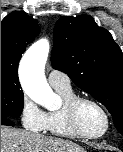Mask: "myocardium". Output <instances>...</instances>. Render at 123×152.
<instances>
[{
	"label": "myocardium",
	"instance_id": "f54148a6",
	"mask_svg": "<svg viewBox=\"0 0 123 152\" xmlns=\"http://www.w3.org/2000/svg\"><path fill=\"white\" fill-rule=\"evenodd\" d=\"M83 103H90L96 106L103 113L104 118H105V127L100 133L88 134V133H85L81 129L78 123V110H79L80 105ZM65 110H66L67 120L71 129L74 131V133L77 136L81 138L98 139L104 136L110 128L111 121H110V116H109L108 111L99 101L93 98L85 97V96H75L66 103Z\"/></svg>",
	"mask_w": 123,
	"mask_h": 152
}]
</instances>
